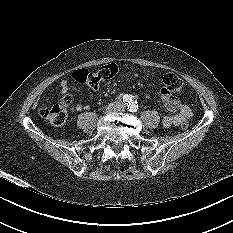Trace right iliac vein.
<instances>
[{
	"label": "right iliac vein",
	"mask_w": 233,
	"mask_h": 233,
	"mask_svg": "<svg viewBox=\"0 0 233 233\" xmlns=\"http://www.w3.org/2000/svg\"><path fill=\"white\" fill-rule=\"evenodd\" d=\"M113 109H115V106L111 105L108 107L107 112H111V111H113Z\"/></svg>",
	"instance_id": "right-iliac-vein-1"
}]
</instances>
